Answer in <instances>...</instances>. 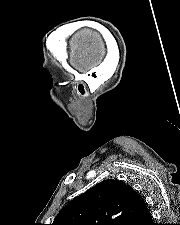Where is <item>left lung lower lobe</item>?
<instances>
[{
	"label": "left lung lower lobe",
	"mask_w": 180,
	"mask_h": 225,
	"mask_svg": "<svg viewBox=\"0 0 180 225\" xmlns=\"http://www.w3.org/2000/svg\"><path fill=\"white\" fill-rule=\"evenodd\" d=\"M126 225H154L148 208L132 218Z\"/></svg>",
	"instance_id": "obj_1"
}]
</instances>
